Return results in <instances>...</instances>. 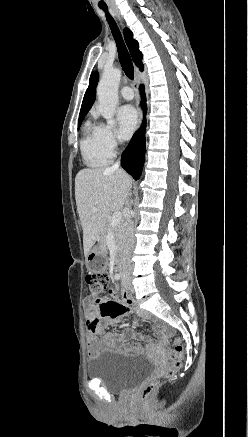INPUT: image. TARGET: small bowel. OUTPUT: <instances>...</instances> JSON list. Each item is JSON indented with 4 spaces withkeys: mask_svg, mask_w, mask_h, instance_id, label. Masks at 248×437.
I'll use <instances>...</instances> for the list:
<instances>
[{
    "mask_svg": "<svg viewBox=\"0 0 248 437\" xmlns=\"http://www.w3.org/2000/svg\"><path fill=\"white\" fill-rule=\"evenodd\" d=\"M83 305L87 307L85 315L88 317V355L90 357L98 355L102 348L123 353L155 351L160 348V344L165 340L164 330L160 325L156 326V332L160 340L159 343L147 340L144 335L134 333L131 329H126L121 333L106 332L102 341L97 339V335L102 330V322L112 323L132 306V299L126 291H123L121 301L105 298L104 294H87L83 300ZM129 338H133L136 341H145L146 344L128 342Z\"/></svg>",
    "mask_w": 248,
    "mask_h": 437,
    "instance_id": "small-bowel-1",
    "label": "small bowel"
}]
</instances>
